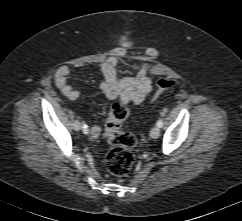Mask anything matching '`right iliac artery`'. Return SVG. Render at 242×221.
<instances>
[{
  "label": "right iliac artery",
  "instance_id": "obj_1",
  "mask_svg": "<svg viewBox=\"0 0 242 221\" xmlns=\"http://www.w3.org/2000/svg\"><path fill=\"white\" fill-rule=\"evenodd\" d=\"M82 130L84 134H88V126L85 122L82 123Z\"/></svg>",
  "mask_w": 242,
  "mask_h": 221
}]
</instances>
